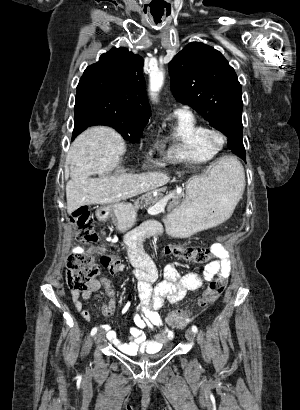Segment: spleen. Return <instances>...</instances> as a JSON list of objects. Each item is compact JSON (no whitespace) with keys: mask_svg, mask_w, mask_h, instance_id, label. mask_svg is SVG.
<instances>
[{"mask_svg":"<svg viewBox=\"0 0 300 410\" xmlns=\"http://www.w3.org/2000/svg\"><path fill=\"white\" fill-rule=\"evenodd\" d=\"M220 167L224 170H233L235 174L233 183L239 200L245 188V174L242 165L233 158H225L221 161Z\"/></svg>","mask_w":300,"mask_h":410,"instance_id":"3e777b00","label":"spleen"}]
</instances>
